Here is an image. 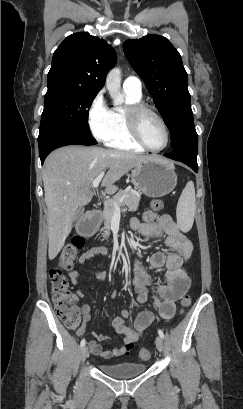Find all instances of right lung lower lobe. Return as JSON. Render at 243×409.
<instances>
[{
	"label": "right lung lower lobe",
	"instance_id": "obj_1",
	"mask_svg": "<svg viewBox=\"0 0 243 409\" xmlns=\"http://www.w3.org/2000/svg\"><path fill=\"white\" fill-rule=\"evenodd\" d=\"M39 154L43 164L47 155L56 148L66 145H94L97 144L92 135L68 129H52L38 137Z\"/></svg>",
	"mask_w": 243,
	"mask_h": 409
}]
</instances>
